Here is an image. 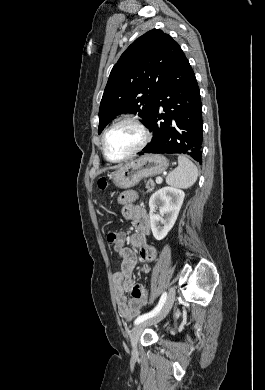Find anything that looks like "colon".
<instances>
[{
  "mask_svg": "<svg viewBox=\"0 0 265 390\" xmlns=\"http://www.w3.org/2000/svg\"><path fill=\"white\" fill-rule=\"evenodd\" d=\"M107 186V182L104 178H101L98 180V187L101 189V190H104ZM107 242L110 244V245H113L114 247L117 246V242H118V236H117V233L114 232V231H111L107 234ZM141 296V300H142V303L143 305H146L148 304L149 302V299H148V295L147 293H142L140 294Z\"/></svg>",
  "mask_w": 265,
  "mask_h": 390,
  "instance_id": "colon-1",
  "label": "colon"
}]
</instances>
